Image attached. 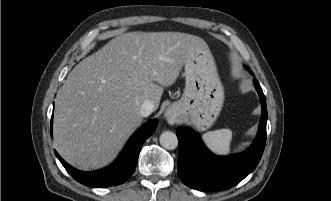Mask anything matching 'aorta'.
<instances>
[{
	"label": "aorta",
	"mask_w": 331,
	"mask_h": 201,
	"mask_svg": "<svg viewBox=\"0 0 331 201\" xmlns=\"http://www.w3.org/2000/svg\"><path fill=\"white\" fill-rule=\"evenodd\" d=\"M160 144L165 149H175L178 146V139L176 134L171 131H164L160 135Z\"/></svg>",
	"instance_id": "obj_1"
}]
</instances>
